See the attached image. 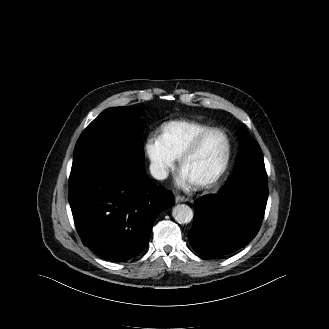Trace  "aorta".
I'll return each mask as SVG.
<instances>
[{
	"instance_id": "obj_1",
	"label": "aorta",
	"mask_w": 329,
	"mask_h": 329,
	"mask_svg": "<svg viewBox=\"0 0 329 329\" xmlns=\"http://www.w3.org/2000/svg\"><path fill=\"white\" fill-rule=\"evenodd\" d=\"M172 216L176 222L185 224L191 222L193 219V211L186 204H178L173 208Z\"/></svg>"
}]
</instances>
